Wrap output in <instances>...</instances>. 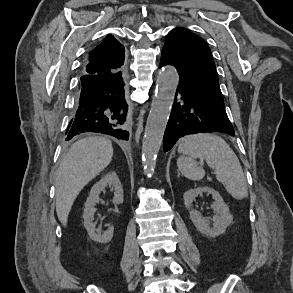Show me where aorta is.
Listing matches in <instances>:
<instances>
[{
    "mask_svg": "<svg viewBox=\"0 0 293 293\" xmlns=\"http://www.w3.org/2000/svg\"><path fill=\"white\" fill-rule=\"evenodd\" d=\"M178 83L177 70L172 66L165 67L158 75L156 94L152 101L142 144V165L146 174L154 173L157 154L162 144Z\"/></svg>",
    "mask_w": 293,
    "mask_h": 293,
    "instance_id": "1",
    "label": "aorta"
}]
</instances>
